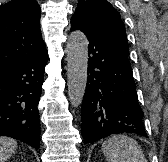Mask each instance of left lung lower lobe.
<instances>
[{"mask_svg": "<svg viewBox=\"0 0 168 162\" xmlns=\"http://www.w3.org/2000/svg\"><path fill=\"white\" fill-rule=\"evenodd\" d=\"M71 30H81L89 41L88 77L81 107L85 144L122 132L147 137L128 53L84 25L73 24Z\"/></svg>", "mask_w": 168, "mask_h": 162, "instance_id": "obj_1", "label": "left lung lower lobe"}]
</instances>
